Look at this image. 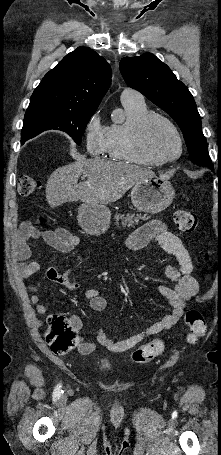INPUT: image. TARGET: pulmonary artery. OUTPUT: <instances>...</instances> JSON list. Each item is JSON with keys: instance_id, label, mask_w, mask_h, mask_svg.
<instances>
[{"instance_id": "1", "label": "pulmonary artery", "mask_w": 221, "mask_h": 455, "mask_svg": "<svg viewBox=\"0 0 221 455\" xmlns=\"http://www.w3.org/2000/svg\"><path fill=\"white\" fill-rule=\"evenodd\" d=\"M120 98L122 102L144 103L143 95L132 88H124Z\"/></svg>"}]
</instances>
